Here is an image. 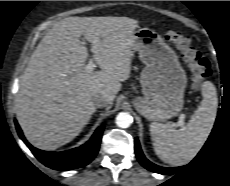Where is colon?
I'll use <instances>...</instances> for the list:
<instances>
[{
    "mask_svg": "<svg viewBox=\"0 0 230 186\" xmlns=\"http://www.w3.org/2000/svg\"><path fill=\"white\" fill-rule=\"evenodd\" d=\"M181 53V57L189 67L194 86H200L211 73L209 61L193 47L191 40L179 31L170 30L164 34Z\"/></svg>",
    "mask_w": 230,
    "mask_h": 186,
    "instance_id": "5ec220e1",
    "label": "colon"
}]
</instances>
